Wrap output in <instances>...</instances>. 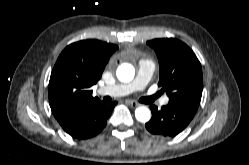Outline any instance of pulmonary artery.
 <instances>
[{"instance_id":"1","label":"pulmonary artery","mask_w":249,"mask_h":165,"mask_svg":"<svg viewBox=\"0 0 249 165\" xmlns=\"http://www.w3.org/2000/svg\"><path fill=\"white\" fill-rule=\"evenodd\" d=\"M154 70L155 66L151 61L142 59L139 62L137 75L132 81L106 87L104 89V92L110 95L124 96V95H129L133 92L143 91L146 85L149 83ZM144 94L147 97L149 96L148 92H145ZM167 103H168V97L166 96L160 100L161 105H166Z\"/></svg>"}]
</instances>
